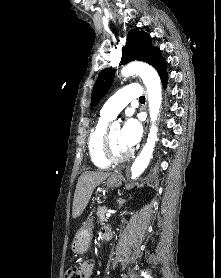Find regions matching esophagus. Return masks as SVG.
<instances>
[{
    "instance_id": "1",
    "label": "esophagus",
    "mask_w": 221,
    "mask_h": 278,
    "mask_svg": "<svg viewBox=\"0 0 221 278\" xmlns=\"http://www.w3.org/2000/svg\"><path fill=\"white\" fill-rule=\"evenodd\" d=\"M148 125H149V118H147V120L144 123V139H145L146 134H147Z\"/></svg>"
}]
</instances>
